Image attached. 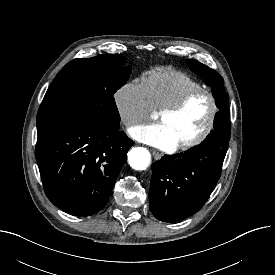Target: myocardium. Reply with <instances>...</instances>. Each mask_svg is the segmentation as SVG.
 I'll return each instance as SVG.
<instances>
[{
    "mask_svg": "<svg viewBox=\"0 0 275 275\" xmlns=\"http://www.w3.org/2000/svg\"><path fill=\"white\" fill-rule=\"evenodd\" d=\"M200 94L207 95V97L210 100L211 110H210V114L208 117V121H207L205 127L203 128V130L196 137H194L188 141L179 143L176 146L177 149L187 150L192 147H195V146L201 144L208 137V135L211 133V131L215 125V121H216L218 111H219V106H218V101H217L216 95L209 89H206L203 87L196 88V89L188 91L183 96H181L177 101L160 109L158 112V116L165 115V114L177 113V112L181 111L194 97H196L197 95H200Z\"/></svg>",
    "mask_w": 275,
    "mask_h": 275,
    "instance_id": "f54148a6",
    "label": "myocardium"
}]
</instances>
